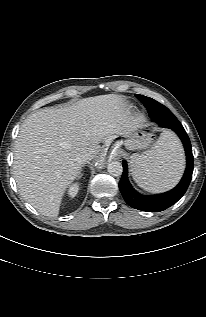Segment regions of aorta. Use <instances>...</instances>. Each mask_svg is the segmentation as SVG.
<instances>
[{
  "instance_id": "obj_1",
  "label": "aorta",
  "mask_w": 206,
  "mask_h": 317,
  "mask_svg": "<svg viewBox=\"0 0 206 317\" xmlns=\"http://www.w3.org/2000/svg\"><path fill=\"white\" fill-rule=\"evenodd\" d=\"M108 172L110 175L118 177L123 172L122 164L119 161H112L108 164Z\"/></svg>"
}]
</instances>
